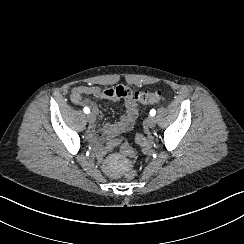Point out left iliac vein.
Returning <instances> with one entry per match:
<instances>
[{
	"mask_svg": "<svg viewBox=\"0 0 244 244\" xmlns=\"http://www.w3.org/2000/svg\"><path fill=\"white\" fill-rule=\"evenodd\" d=\"M146 125L150 128H153L155 127L156 125V119L155 117L153 116H149L147 119H146Z\"/></svg>",
	"mask_w": 244,
	"mask_h": 244,
	"instance_id": "1",
	"label": "left iliac vein"
}]
</instances>
